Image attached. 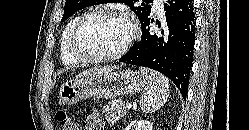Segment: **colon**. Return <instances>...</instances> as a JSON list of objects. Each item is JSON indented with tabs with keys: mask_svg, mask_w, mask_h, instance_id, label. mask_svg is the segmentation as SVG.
<instances>
[{
	"mask_svg": "<svg viewBox=\"0 0 249 130\" xmlns=\"http://www.w3.org/2000/svg\"><path fill=\"white\" fill-rule=\"evenodd\" d=\"M56 120L61 130H80L77 122L63 110L57 111Z\"/></svg>",
	"mask_w": 249,
	"mask_h": 130,
	"instance_id": "1",
	"label": "colon"
}]
</instances>
